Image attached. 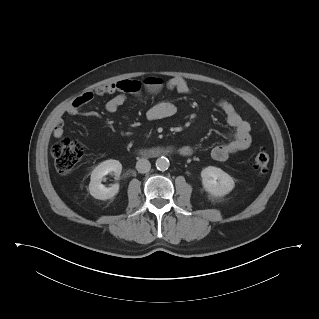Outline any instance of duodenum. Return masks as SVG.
Masks as SVG:
<instances>
[{
  "mask_svg": "<svg viewBox=\"0 0 319 319\" xmlns=\"http://www.w3.org/2000/svg\"><path fill=\"white\" fill-rule=\"evenodd\" d=\"M137 152L142 156H150V157H157L161 155H167L170 153L168 148H144L138 149Z\"/></svg>",
  "mask_w": 319,
  "mask_h": 319,
  "instance_id": "obj_1",
  "label": "duodenum"
}]
</instances>
